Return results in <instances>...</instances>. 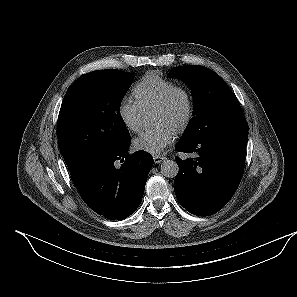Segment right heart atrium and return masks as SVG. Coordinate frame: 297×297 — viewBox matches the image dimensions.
Masks as SVG:
<instances>
[{
  "label": "right heart atrium",
  "instance_id": "right-heart-atrium-1",
  "mask_svg": "<svg viewBox=\"0 0 297 297\" xmlns=\"http://www.w3.org/2000/svg\"><path fill=\"white\" fill-rule=\"evenodd\" d=\"M117 115L125 128L133 132L139 130L141 108L132 98L129 96L120 98L117 104Z\"/></svg>",
  "mask_w": 297,
  "mask_h": 297
}]
</instances>
